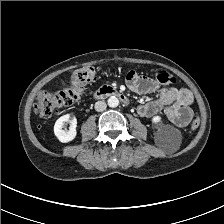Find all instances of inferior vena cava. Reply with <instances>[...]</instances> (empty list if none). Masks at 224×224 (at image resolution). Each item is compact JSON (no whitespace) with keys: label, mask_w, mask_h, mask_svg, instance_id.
<instances>
[{"label":"inferior vena cava","mask_w":224,"mask_h":224,"mask_svg":"<svg viewBox=\"0 0 224 224\" xmlns=\"http://www.w3.org/2000/svg\"><path fill=\"white\" fill-rule=\"evenodd\" d=\"M107 104L104 101H97L95 103V110L97 112H102L104 110H106Z\"/></svg>","instance_id":"inferior-vena-cava-1"}]
</instances>
